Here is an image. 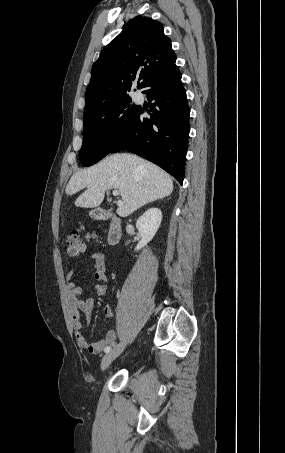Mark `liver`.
<instances>
[{"label": "liver", "instance_id": "1", "mask_svg": "<svg viewBox=\"0 0 285 453\" xmlns=\"http://www.w3.org/2000/svg\"><path fill=\"white\" fill-rule=\"evenodd\" d=\"M84 188L87 189L75 201L77 207L99 206L105 191L114 188L122 197L117 214L126 217L149 202L169 196L173 191V181L155 164L136 155L119 153L74 173L65 191L72 195Z\"/></svg>", "mask_w": 285, "mask_h": 453}]
</instances>
